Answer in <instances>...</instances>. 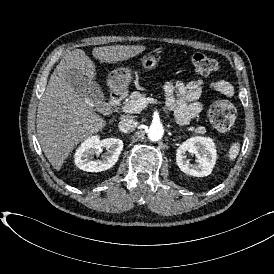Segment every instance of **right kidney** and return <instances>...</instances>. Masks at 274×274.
Masks as SVG:
<instances>
[{
  "instance_id": "obj_1",
  "label": "right kidney",
  "mask_w": 274,
  "mask_h": 274,
  "mask_svg": "<svg viewBox=\"0 0 274 274\" xmlns=\"http://www.w3.org/2000/svg\"><path fill=\"white\" fill-rule=\"evenodd\" d=\"M103 148H106V153L101 159L94 160V155L99 154ZM122 150L123 141L121 139L113 137L100 140V137L96 135L87 138L76 149L74 162L83 171L101 172L115 165Z\"/></svg>"
}]
</instances>
